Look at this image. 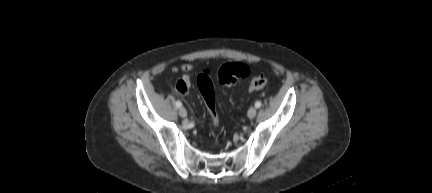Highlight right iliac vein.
I'll use <instances>...</instances> for the list:
<instances>
[{"instance_id": "right-iliac-vein-1", "label": "right iliac vein", "mask_w": 432, "mask_h": 193, "mask_svg": "<svg viewBox=\"0 0 432 193\" xmlns=\"http://www.w3.org/2000/svg\"><path fill=\"white\" fill-rule=\"evenodd\" d=\"M179 115H180L181 117L185 118V117L187 116V111H186V109L183 108V107H181V108L179 109Z\"/></svg>"}]
</instances>
